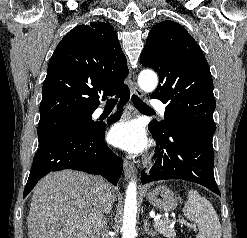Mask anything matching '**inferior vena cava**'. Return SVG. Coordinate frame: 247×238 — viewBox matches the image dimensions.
Masks as SVG:
<instances>
[{
    "mask_svg": "<svg viewBox=\"0 0 247 238\" xmlns=\"http://www.w3.org/2000/svg\"><path fill=\"white\" fill-rule=\"evenodd\" d=\"M108 186L103 177H95V190L91 204L92 238H108L107 221L104 215Z\"/></svg>",
    "mask_w": 247,
    "mask_h": 238,
    "instance_id": "602c4592",
    "label": "inferior vena cava"
}]
</instances>
